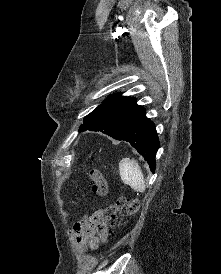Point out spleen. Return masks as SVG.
Instances as JSON below:
<instances>
[{
    "mask_svg": "<svg viewBox=\"0 0 221 274\" xmlns=\"http://www.w3.org/2000/svg\"><path fill=\"white\" fill-rule=\"evenodd\" d=\"M119 174L124 184L129 185L133 190L144 192L146 189L145 180L141 168L134 159L123 158L119 162Z\"/></svg>",
    "mask_w": 221,
    "mask_h": 274,
    "instance_id": "obj_1",
    "label": "spleen"
}]
</instances>
